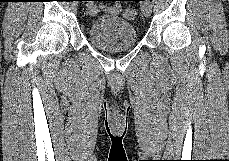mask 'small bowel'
I'll return each instance as SVG.
<instances>
[{"instance_id":"1","label":"small bowel","mask_w":229,"mask_h":161,"mask_svg":"<svg viewBox=\"0 0 229 161\" xmlns=\"http://www.w3.org/2000/svg\"><path fill=\"white\" fill-rule=\"evenodd\" d=\"M119 9H120V4H119V2H116V3H114L113 5L107 7V8H106V11H107L108 13L114 14V13H117V12L119 11ZM89 11H90L91 13H95V12L98 11V9H97L96 7H92V8H90Z\"/></svg>"}]
</instances>
